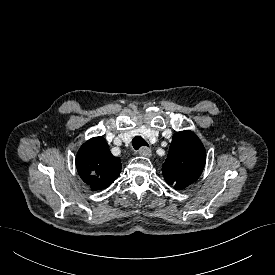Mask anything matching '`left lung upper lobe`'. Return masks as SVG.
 <instances>
[{
	"label": "left lung upper lobe",
	"mask_w": 275,
	"mask_h": 275,
	"mask_svg": "<svg viewBox=\"0 0 275 275\" xmlns=\"http://www.w3.org/2000/svg\"><path fill=\"white\" fill-rule=\"evenodd\" d=\"M206 152L200 139L191 131L174 134L162 166L166 182L181 190L196 181L205 166Z\"/></svg>",
	"instance_id": "5c2ea615"
}]
</instances>
